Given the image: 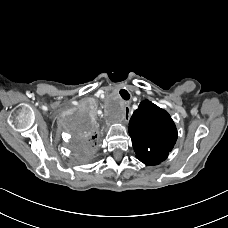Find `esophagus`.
<instances>
[{
	"instance_id": "obj_1",
	"label": "esophagus",
	"mask_w": 228,
	"mask_h": 228,
	"mask_svg": "<svg viewBox=\"0 0 228 228\" xmlns=\"http://www.w3.org/2000/svg\"><path fill=\"white\" fill-rule=\"evenodd\" d=\"M124 112H125V114H126L128 117H130V115H131V108H130V106H129L128 104H126V105L124 106Z\"/></svg>"
}]
</instances>
